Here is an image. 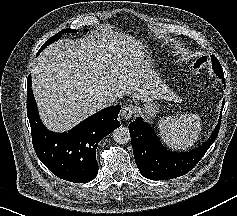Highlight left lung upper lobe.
Segmentation results:
<instances>
[{
    "label": "left lung upper lobe",
    "instance_id": "left-lung-upper-lobe-1",
    "mask_svg": "<svg viewBox=\"0 0 237 216\" xmlns=\"http://www.w3.org/2000/svg\"><path fill=\"white\" fill-rule=\"evenodd\" d=\"M212 66L213 69L215 70V73L221 78L224 79V75H223V70L222 67L219 63V61L217 60V58L215 56L212 55Z\"/></svg>",
    "mask_w": 237,
    "mask_h": 216
}]
</instances>
